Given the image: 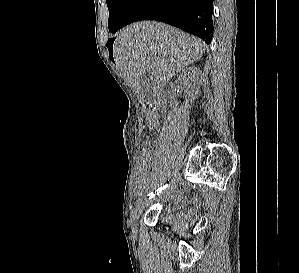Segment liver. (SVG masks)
I'll list each match as a JSON object with an SVG mask.
<instances>
[{
  "mask_svg": "<svg viewBox=\"0 0 299 273\" xmlns=\"http://www.w3.org/2000/svg\"><path fill=\"white\" fill-rule=\"evenodd\" d=\"M205 48L200 39L169 25L142 21L117 34L113 55L137 98L144 99L141 79L146 70L152 73L156 95L177 72L198 60Z\"/></svg>",
  "mask_w": 299,
  "mask_h": 273,
  "instance_id": "1",
  "label": "liver"
}]
</instances>
